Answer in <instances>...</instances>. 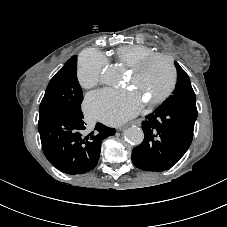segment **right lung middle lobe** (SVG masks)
Returning a JSON list of instances; mask_svg holds the SVG:
<instances>
[{
    "label": "right lung middle lobe",
    "instance_id": "obj_1",
    "mask_svg": "<svg viewBox=\"0 0 227 227\" xmlns=\"http://www.w3.org/2000/svg\"><path fill=\"white\" fill-rule=\"evenodd\" d=\"M77 56H72L49 82L39 107V122L62 112H81L83 93L77 80Z\"/></svg>",
    "mask_w": 227,
    "mask_h": 227
}]
</instances>
